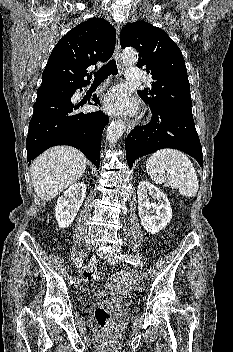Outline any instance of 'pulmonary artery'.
Returning <instances> with one entry per match:
<instances>
[{
	"instance_id": "pulmonary-artery-1",
	"label": "pulmonary artery",
	"mask_w": 233,
	"mask_h": 352,
	"mask_svg": "<svg viewBox=\"0 0 233 352\" xmlns=\"http://www.w3.org/2000/svg\"><path fill=\"white\" fill-rule=\"evenodd\" d=\"M125 77L129 81H138L140 79L139 69L137 67H129L125 72Z\"/></svg>"
}]
</instances>
